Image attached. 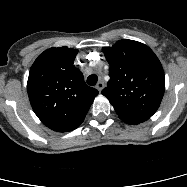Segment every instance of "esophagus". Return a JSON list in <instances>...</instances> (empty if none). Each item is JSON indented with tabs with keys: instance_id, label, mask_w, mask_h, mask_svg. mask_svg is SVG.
Masks as SVG:
<instances>
[{
	"instance_id": "1",
	"label": "esophagus",
	"mask_w": 187,
	"mask_h": 187,
	"mask_svg": "<svg viewBox=\"0 0 187 187\" xmlns=\"http://www.w3.org/2000/svg\"><path fill=\"white\" fill-rule=\"evenodd\" d=\"M105 87V84L103 81H99L96 85V88L98 89V91H102V89Z\"/></svg>"
}]
</instances>
